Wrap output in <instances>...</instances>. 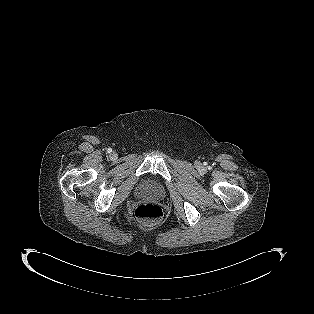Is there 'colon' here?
<instances>
[{
    "label": "colon",
    "instance_id": "obj_1",
    "mask_svg": "<svg viewBox=\"0 0 314 314\" xmlns=\"http://www.w3.org/2000/svg\"><path fill=\"white\" fill-rule=\"evenodd\" d=\"M134 213L137 219L146 223L158 222L164 214L160 205L151 202L139 204Z\"/></svg>",
    "mask_w": 314,
    "mask_h": 314
}]
</instances>
